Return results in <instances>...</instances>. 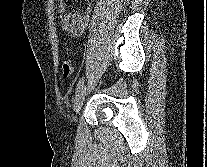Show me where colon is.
I'll return each mask as SVG.
<instances>
[{"label":"colon","instance_id":"colon-1","mask_svg":"<svg viewBox=\"0 0 207 167\" xmlns=\"http://www.w3.org/2000/svg\"><path fill=\"white\" fill-rule=\"evenodd\" d=\"M73 70H74L73 60L71 58H67L66 60H64L62 64V73L64 77H70L73 74Z\"/></svg>","mask_w":207,"mask_h":167}]
</instances>
